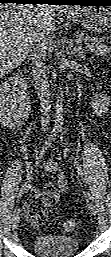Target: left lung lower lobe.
<instances>
[{
  "instance_id": "left-lung-lower-lobe-1",
  "label": "left lung lower lobe",
  "mask_w": 111,
  "mask_h": 257,
  "mask_svg": "<svg viewBox=\"0 0 111 257\" xmlns=\"http://www.w3.org/2000/svg\"><path fill=\"white\" fill-rule=\"evenodd\" d=\"M72 5L91 6L94 4H102L103 6H111V0H71Z\"/></svg>"
}]
</instances>
